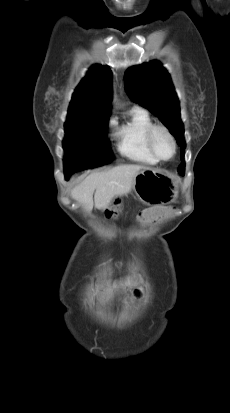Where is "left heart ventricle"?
Masks as SVG:
<instances>
[{"mask_svg": "<svg viewBox=\"0 0 230 413\" xmlns=\"http://www.w3.org/2000/svg\"><path fill=\"white\" fill-rule=\"evenodd\" d=\"M154 147L157 153L163 158H169L173 153V145L168 136L161 130L154 136Z\"/></svg>", "mask_w": 230, "mask_h": 413, "instance_id": "left-heart-ventricle-1", "label": "left heart ventricle"}]
</instances>
